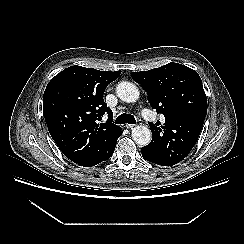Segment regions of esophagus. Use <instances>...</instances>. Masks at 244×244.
Segmentation results:
<instances>
[{
	"instance_id": "esophagus-1",
	"label": "esophagus",
	"mask_w": 244,
	"mask_h": 244,
	"mask_svg": "<svg viewBox=\"0 0 244 244\" xmlns=\"http://www.w3.org/2000/svg\"><path fill=\"white\" fill-rule=\"evenodd\" d=\"M134 127H135L134 124H126V128H128V129H132V128H134Z\"/></svg>"
}]
</instances>
